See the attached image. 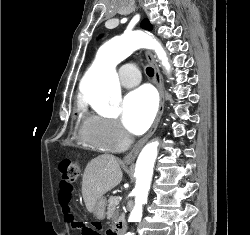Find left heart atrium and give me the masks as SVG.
I'll return each mask as SVG.
<instances>
[{"label": "left heart atrium", "mask_w": 250, "mask_h": 235, "mask_svg": "<svg viewBox=\"0 0 250 235\" xmlns=\"http://www.w3.org/2000/svg\"><path fill=\"white\" fill-rule=\"evenodd\" d=\"M157 110L154 91L142 86L130 92L123 100L122 121L133 134L143 133L151 124Z\"/></svg>", "instance_id": "39dd6f15"}]
</instances>
